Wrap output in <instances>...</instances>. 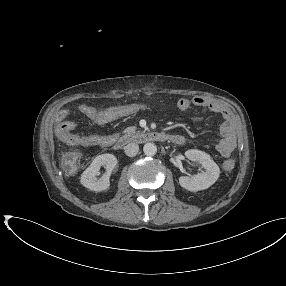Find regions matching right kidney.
Wrapping results in <instances>:
<instances>
[{"mask_svg": "<svg viewBox=\"0 0 286 286\" xmlns=\"http://www.w3.org/2000/svg\"><path fill=\"white\" fill-rule=\"evenodd\" d=\"M117 163V158L113 154L98 155L82 173L81 184L91 191L100 192L107 190L110 187L109 177ZM101 166H105L107 172L98 179L96 176L99 174Z\"/></svg>", "mask_w": 286, "mask_h": 286, "instance_id": "ca27d5eb", "label": "right kidney"}]
</instances>
